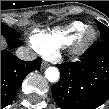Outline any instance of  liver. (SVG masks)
Wrapping results in <instances>:
<instances>
[{
  "label": "liver",
  "mask_w": 109,
  "mask_h": 109,
  "mask_svg": "<svg viewBox=\"0 0 109 109\" xmlns=\"http://www.w3.org/2000/svg\"><path fill=\"white\" fill-rule=\"evenodd\" d=\"M2 48H5V43H4V41H2Z\"/></svg>",
  "instance_id": "obj_1"
}]
</instances>
